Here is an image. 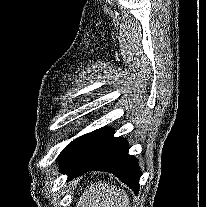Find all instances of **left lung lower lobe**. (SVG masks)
<instances>
[{"label":"left lung lower lobe","mask_w":206,"mask_h":207,"mask_svg":"<svg viewBox=\"0 0 206 207\" xmlns=\"http://www.w3.org/2000/svg\"><path fill=\"white\" fill-rule=\"evenodd\" d=\"M113 134L110 129L91 132L76 153L61 163V172L72 179L91 170L106 171L138 194L141 172L137 160L128 154L127 141Z\"/></svg>","instance_id":"0a47b994"}]
</instances>
